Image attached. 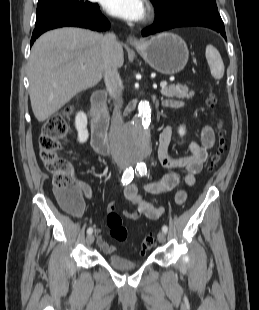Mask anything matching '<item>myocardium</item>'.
<instances>
[{"label":"myocardium","instance_id":"f54148a6","mask_svg":"<svg viewBox=\"0 0 259 310\" xmlns=\"http://www.w3.org/2000/svg\"><path fill=\"white\" fill-rule=\"evenodd\" d=\"M153 17H154V9L152 6H149L143 21L147 23L151 21Z\"/></svg>","mask_w":259,"mask_h":310}]
</instances>
